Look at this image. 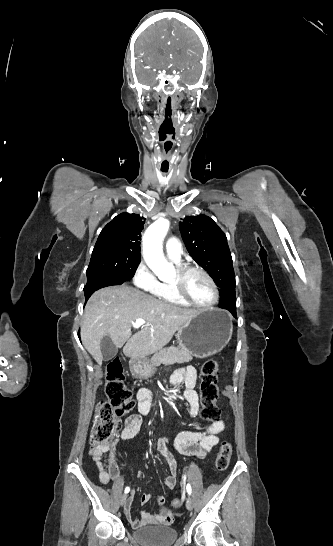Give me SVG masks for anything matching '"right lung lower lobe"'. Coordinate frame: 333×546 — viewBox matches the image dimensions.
Wrapping results in <instances>:
<instances>
[{"label": "right lung lower lobe", "mask_w": 333, "mask_h": 546, "mask_svg": "<svg viewBox=\"0 0 333 546\" xmlns=\"http://www.w3.org/2000/svg\"><path fill=\"white\" fill-rule=\"evenodd\" d=\"M125 281H121L118 279L105 277V276H92L88 278L87 284L84 287V293L86 297V301L89 299V297L98 289L112 286V285H120L123 284Z\"/></svg>", "instance_id": "98d812e1"}]
</instances>
